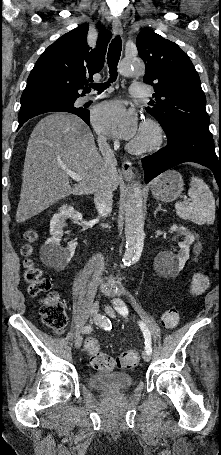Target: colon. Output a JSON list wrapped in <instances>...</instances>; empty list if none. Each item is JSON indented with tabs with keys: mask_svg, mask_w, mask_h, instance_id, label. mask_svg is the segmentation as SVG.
<instances>
[{
	"mask_svg": "<svg viewBox=\"0 0 221 455\" xmlns=\"http://www.w3.org/2000/svg\"><path fill=\"white\" fill-rule=\"evenodd\" d=\"M24 236L26 242L21 249L24 257V281L28 284L31 295L44 294L39 311L42 322L54 332L61 333L67 325V315L58 295L50 291L49 280L36 264L34 243L38 239V234L34 230H29ZM208 286L209 276L206 273H197L190 282L189 293L193 296L202 295ZM179 320L180 312L179 307L176 305L166 310L161 317L162 325L167 329H175L179 324ZM84 349L90 357L91 366L106 372L115 368H133L138 365L140 360L137 351H124L116 358L107 355L100 350L98 340L92 337L85 340Z\"/></svg>",
	"mask_w": 221,
	"mask_h": 455,
	"instance_id": "obj_1",
	"label": "colon"
}]
</instances>
